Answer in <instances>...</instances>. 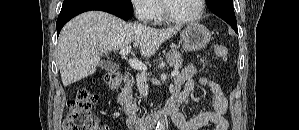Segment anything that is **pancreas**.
I'll return each mask as SVG.
<instances>
[{
    "instance_id": "1",
    "label": "pancreas",
    "mask_w": 299,
    "mask_h": 130,
    "mask_svg": "<svg viewBox=\"0 0 299 130\" xmlns=\"http://www.w3.org/2000/svg\"><path fill=\"white\" fill-rule=\"evenodd\" d=\"M167 61L171 66H174L176 69H179L182 67V54L176 50H173L171 52H168L166 55ZM178 78V77H177ZM132 107L135 111L138 110L136 101L131 102Z\"/></svg>"
}]
</instances>
